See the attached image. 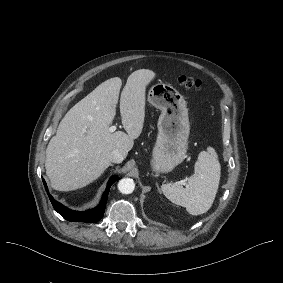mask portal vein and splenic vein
<instances>
[{"mask_svg": "<svg viewBox=\"0 0 283 283\" xmlns=\"http://www.w3.org/2000/svg\"><path fill=\"white\" fill-rule=\"evenodd\" d=\"M116 130V126H111V127H109V132H114Z\"/></svg>", "mask_w": 283, "mask_h": 283, "instance_id": "1", "label": "portal vein and splenic vein"}]
</instances>
